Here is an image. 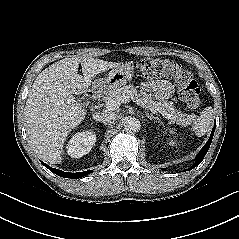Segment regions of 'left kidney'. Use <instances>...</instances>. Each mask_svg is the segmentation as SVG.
<instances>
[{
    "instance_id": "1",
    "label": "left kidney",
    "mask_w": 239,
    "mask_h": 239,
    "mask_svg": "<svg viewBox=\"0 0 239 239\" xmlns=\"http://www.w3.org/2000/svg\"><path fill=\"white\" fill-rule=\"evenodd\" d=\"M170 144L173 146L175 144V142L174 141H170Z\"/></svg>"
}]
</instances>
